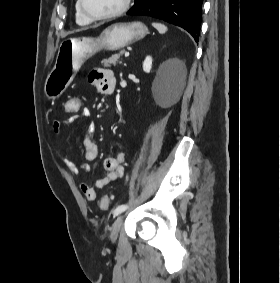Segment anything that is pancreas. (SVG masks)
I'll return each instance as SVG.
<instances>
[{
	"label": "pancreas",
	"instance_id": "obj_1",
	"mask_svg": "<svg viewBox=\"0 0 280 283\" xmlns=\"http://www.w3.org/2000/svg\"><path fill=\"white\" fill-rule=\"evenodd\" d=\"M124 51H120L119 53L113 54L111 57L108 59H104L102 61V64L104 67H110L111 65H117L120 63V57L123 55Z\"/></svg>",
	"mask_w": 280,
	"mask_h": 283
}]
</instances>
